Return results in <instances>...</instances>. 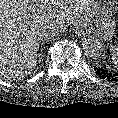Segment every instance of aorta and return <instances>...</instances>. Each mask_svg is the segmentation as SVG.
<instances>
[{"mask_svg":"<svg viewBox=\"0 0 118 118\" xmlns=\"http://www.w3.org/2000/svg\"><path fill=\"white\" fill-rule=\"evenodd\" d=\"M82 46L86 55L92 59H100L104 55L103 44L92 36L86 37Z\"/></svg>","mask_w":118,"mask_h":118,"instance_id":"obj_1","label":"aorta"}]
</instances>
